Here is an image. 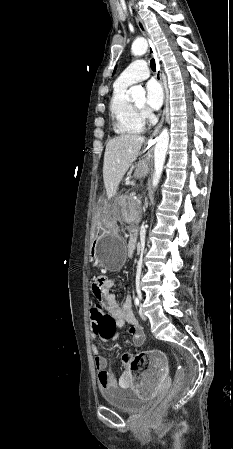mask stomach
I'll return each instance as SVG.
<instances>
[{
  "label": "stomach",
  "mask_w": 233,
  "mask_h": 449,
  "mask_svg": "<svg viewBox=\"0 0 233 449\" xmlns=\"http://www.w3.org/2000/svg\"><path fill=\"white\" fill-rule=\"evenodd\" d=\"M147 173V167L140 165L136 168L134 176L143 177ZM99 210H114V201H99ZM93 220L98 221L97 238L91 242V256L99 267L111 271L119 270L125 259V243L116 233L118 226L117 212H94Z\"/></svg>",
  "instance_id": "obj_1"
}]
</instances>
